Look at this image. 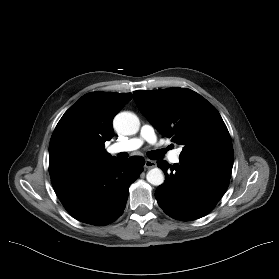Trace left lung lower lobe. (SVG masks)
<instances>
[{
  "instance_id": "left-lung-lower-lobe-1",
  "label": "left lung lower lobe",
  "mask_w": 279,
  "mask_h": 279,
  "mask_svg": "<svg viewBox=\"0 0 279 279\" xmlns=\"http://www.w3.org/2000/svg\"><path fill=\"white\" fill-rule=\"evenodd\" d=\"M180 158L178 164L157 162L165 173L155 197L159 206L170 217L188 221L207 215L226 191L233 162Z\"/></svg>"
}]
</instances>
